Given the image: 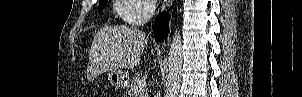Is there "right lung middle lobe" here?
<instances>
[{"label": "right lung middle lobe", "instance_id": "obj_1", "mask_svg": "<svg viewBox=\"0 0 302 97\" xmlns=\"http://www.w3.org/2000/svg\"><path fill=\"white\" fill-rule=\"evenodd\" d=\"M106 3H107V0H101V1H99L98 12H101L103 10V8L105 7Z\"/></svg>", "mask_w": 302, "mask_h": 97}]
</instances>
